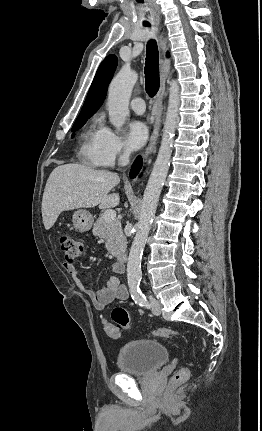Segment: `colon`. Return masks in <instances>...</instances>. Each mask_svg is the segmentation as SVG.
Here are the masks:
<instances>
[{"mask_svg":"<svg viewBox=\"0 0 262 431\" xmlns=\"http://www.w3.org/2000/svg\"><path fill=\"white\" fill-rule=\"evenodd\" d=\"M60 247L64 255V262L66 264H73L85 254L84 243L72 236H63L60 239ZM114 323L103 321V328L105 333L112 339H117L120 336L121 329H131V317L127 308L123 306L116 307L112 312ZM156 336L165 338H184L189 340V337L183 333L170 328H157L153 331ZM190 377L188 368H182L177 371L171 380L173 385H178L186 382Z\"/></svg>","mask_w":262,"mask_h":431,"instance_id":"5ec220e1","label":"colon"}]
</instances>
